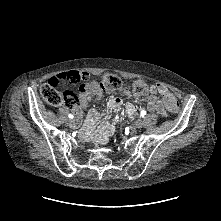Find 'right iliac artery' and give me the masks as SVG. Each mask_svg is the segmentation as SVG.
Masks as SVG:
<instances>
[{"instance_id": "82829eb1", "label": "right iliac artery", "mask_w": 221, "mask_h": 221, "mask_svg": "<svg viewBox=\"0 0 221 221\" xmlns=\"http://www.w3.org/2000/svg\"><path fill=\"white\" fill-rule=\"evenodd\" d=\"M69 118H70V119H73L74 116H73L72 114H69Z\"/></svg>"}]
</instances>
